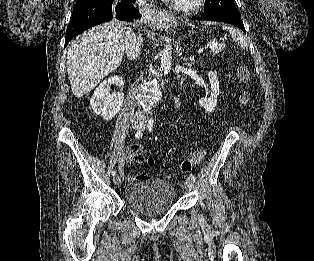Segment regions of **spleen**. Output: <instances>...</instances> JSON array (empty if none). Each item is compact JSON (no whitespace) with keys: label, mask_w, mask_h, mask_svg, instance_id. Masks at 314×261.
Listing matches in <instances>:
<instances>
[{"label":"spleen","mask_w":314,"mask_h":261,"mask_svg":"<svg viewBox=\"0 0 314 261\" xmlns=\"http://www.w3.org/2000/svg\"><path fill=\"white\" fill-rule=\"evenodd\" d=\"M223 29L227 30L232 39L237 42L241 48L247 49L248 48V43L246 41V38L244 37L243 33L233 27H223Z\"/></svg>","instance_id":"obj_1"}]
</instances>
